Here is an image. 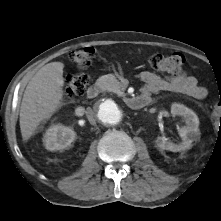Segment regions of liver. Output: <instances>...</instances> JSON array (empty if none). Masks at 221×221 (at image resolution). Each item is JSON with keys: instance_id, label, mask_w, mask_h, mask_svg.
I'll return each instance as SVG.
<instances>
[{"instance_id": "liver-1", "label": "liver", "mask_w": 221, "mask_h": 221, "mask_svg": "<svg viewBox=\"0 0 221 221\" xmlns=\"http://www.w3.org/2000/svg\"><path fill=\"white\" fill-rule=\"evenodd\" d=\"M63 68L62 62H50L39 69L28 83L19 115L23 141H28L37 126L64 104Z\"/></svg>"}]
</instances>
